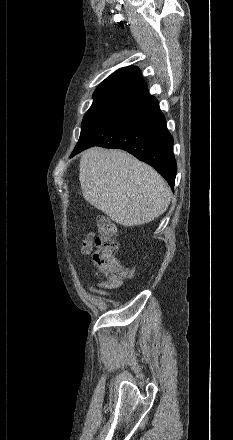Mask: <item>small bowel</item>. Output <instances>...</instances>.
I'll list each match as a JSON object with an SVG mask.
<instances>
[{
	"label": "small bowel",
	"mask_w": 233,
	"mask_h": 440,
	"mask_svg": "<svg viewBox=\"0 0 233 440\" xmlns=\"http://www.w3.org/2000/svg\"><path fill=\"white\" fill-rule=\"evenodd\" d=\"M94 242H95V234L93 232L88 233L81 244V247H80L81 254L82 255L90 254L93 250ZM120 285H121V283L115 284V283H112L108 280H103V281H99L96 283L97 287L91 285L89 287V289L92 293L102 295V296H108V295H110L108 290L117 289L120 287Z\"/></svg>",
	"instance_id": "1"
}]
</instances>
